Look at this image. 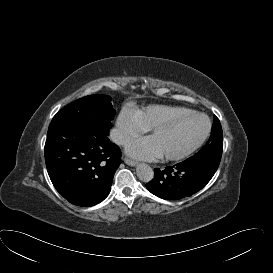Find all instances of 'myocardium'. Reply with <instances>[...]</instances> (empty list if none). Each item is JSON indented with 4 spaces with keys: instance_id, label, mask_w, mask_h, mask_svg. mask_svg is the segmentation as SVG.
<instances>
[{
    "instance_id": "myocardium-1",
    "label": "myocardium",
    "mask_w": 273,
    "mask_h": 273,
    "mask_svg": "<svg viewBox=\"0 0 273 273\" xmlns=\"http://www.w3.org/2000/svg\"><path fill=\"white\" fill-rule=\"evenodd\" d=\"M191 118H200V119L204 120L205 128H204L202 135L193 145H191L188 149L184 150L183 152L176 153V154H164L163 156L166 159L184 158V157L188 156L189 154H191L193 151H195L198 147H200L209 135V132L211 129L210 120L204 114H200V113H196V112H186V113L179 115L178 117H176L175 119H173L171 121H168V122H165V123L155 126V128H153L151 130V134H157L158 132H160L164 129H168V128H171V127L179 124L183 120H187V119H191Z\"/></svg>"
}]
</instances>
